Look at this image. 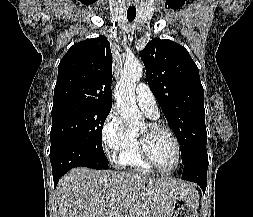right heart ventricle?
I'll return each mask as SVG.
<instances>
[{"label": "right heart ventricle", "instance_id": "e07e8e85", "mask_svg": "<svg viewBox=\"0 0 253 217\" xmlns=\"http://www.w3.org/2000/svg\"><path fill=\"white\" fill-rule=\"evenodd\" d=\"M116 163L119 166L129 167L141 174H150L153 172V169L142 159L138 148L137 132L132 130H129L128 141L116 157Z\"/></svg>", "mask_w": 253, "mask_h": 217}]
</instances>
